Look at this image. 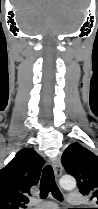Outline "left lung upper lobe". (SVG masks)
Masks as SVG:
<instances>
[{"mask_svg":"<svg viewBox=\"0 0 98 209\" xmlns=\"http://www.w3.org/2000/svg\"><path fill=\"white\" fill-rule=\"evenodd\" d=\"M61 161L67 173L76 178L81 194L89 195L98 205V156L73 143L66 148Z\"/></svg>","mask_w":98,"mask_h":209,"instance_id":"5c2ea615","label":"left lung upper lobe"}]
</instances>
